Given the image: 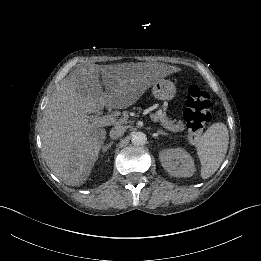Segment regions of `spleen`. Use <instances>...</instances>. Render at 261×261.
<instances>
[{
    "instance_id": "3e777b00",
    "label": "spleen",
    "mask_w": 261,
    "mask_h": 261,
    "mask_svg": "<svg viewBox=\"0 0 261 261\" xmlns=\"http://www.w3.org/2000/svg\"><path fill=\"white\" fill-rule=\"evenodd\" d=\"M229 134L223 123L212 124L197 143V154L201 162V177L212 176L227 153Z\"/></svg>"
}]
</instances>
